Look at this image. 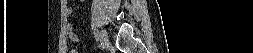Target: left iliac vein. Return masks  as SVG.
I'll use <instances>...</instances> for the list:
<instances>
[{
  "mask_svg": "<svg viewBox=\"0 0 253 53\" xmlns=\"http://www.w3.org/2000/svg\"><path fill=\"white\" fill-rule=\"evenodd\" d=\"M100 41L102 42V45L104 47H106L108 45L109 40L107 37V33L104 30H102L100 33Z\"/></svg>",
  "mask_w": 253,
  "mask_h": 53,
  "instance_id": "1",
  "label": "left iliac vein"
}]
</instances>
